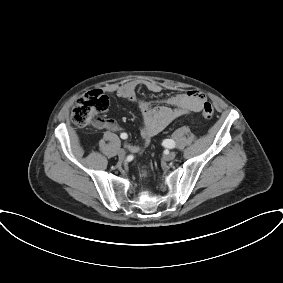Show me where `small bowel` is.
Segmentation results:
<instances>
[{
  "mask_svg": "<svg viewBox=\"0 0 283 283\" xmlns=\"http://www.w3.org/2000/svg\"><path fill=\"white\" fill-rule=\"evenodd\" d=\"M143 87L149 92L158 93L162 86L155 81H130L124 84H110L99 91L101 93L116 94L119 98L125 99L136 105L143 119V128L141 131L142 145H127L132 153H137L148 146L152 136L162 131L174 119L195 113L201 110L206 102V96L197 90H190L186 93L173 94L166 99V102L172 107L165 105H153L151 101L140 100L136 90ZM100 126L109 131H120V126L112 119L103 120Z\"/></svg>",
  "mask_w": 283,
  "mask_h": 283,
  "instance_id": "obj_1",
  "label": "small bowel"
}]
</instances>
